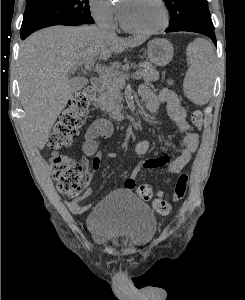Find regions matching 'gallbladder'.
<instances>
[{
    "label": "gallbladder",
    "instance_id": "obj_1",
    "mask_svg": "<svg viewBox=\"0 0 245 300\" xmlns=\"http://www.w3.org/2000/svg\"><path fill=\"white\" fill-rule=\"evenodd\" d=\"M87 83V80L85 78H72L70 79V84L73 89V91H77L82 89Z\"/></svg>",
    "mask_w": 245,
    "mask_h": 300
}]
</instances>
